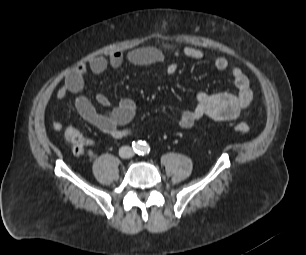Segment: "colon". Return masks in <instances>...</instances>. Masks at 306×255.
Masks as SVG:
<instances>
[{
  "label": "colon",
  "instance_id": "colon-1",
  "mask_svg": "<svg viewBox=\"0 0 306 255\" xmlns=\"http://www.w3.org/2000/svg\"><path fill=\"white\" fill-rule=\"evenodd\" d=\"M236 132L247 134L250 132V126L245 122H238L233 126ZM65 139L71 145L72 152L75 156H83L86 154L88 145L87 139L83 134L74 127H68L65 130Z\"/></svg>",
  "mask_w": 306,
  "mask_h": 255
}]
</instances>
